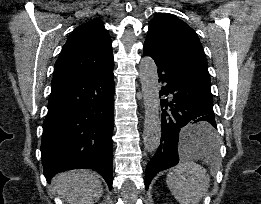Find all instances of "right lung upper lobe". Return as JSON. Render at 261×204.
<instances>
[{"label":"right lung upper lobe","mask_w":261,"mask_h":204,"mask_svg":"<svg viewBox=\"0 0 261 204\" xmlns=\"http://www.w3.org/2000/svg\"><path fill=\"white\" fill-rule=\"evenodd\" d=\"M113 64L109 33L100 19L78 26L68 37L54 67L52 83L98 72Z\"/></svg>","instance_id":"cb5924a9"}]
</instances>
